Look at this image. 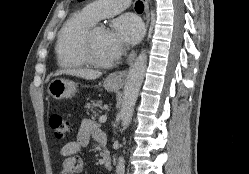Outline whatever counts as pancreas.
I'll return each mask as SVG.
<instances>
[{"mask_svg": "<svg viewBox=\"0 0 249 174\" xmlns=\"http://www.w3.org/2000/svg\"><path fill=\"white\" fill-rule=\"evenodd\" d=\"M102 100L99 101H92L91 103H87L85 105V108L87 110H90L93 112V114H96V110L100 113L101 111L99 109H103V105H102Z\"/></svg>", "mask_w": 249, "mask_h": 174, "instance_id": "pancreas-1", "label": "pancreas"}]
</instances>
